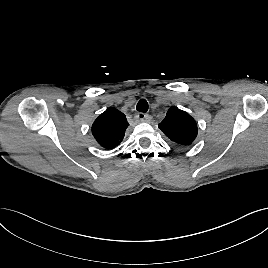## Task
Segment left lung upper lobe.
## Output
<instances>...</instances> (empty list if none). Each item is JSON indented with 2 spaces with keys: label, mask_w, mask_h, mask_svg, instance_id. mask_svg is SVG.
Instances as JSON below:
<instances>
[{
  "label": "left lung upper lobe",
  "mask_w": 268,
  "mask_h": 268,
  "mask_svg": "<svg viewBox=\"0 0 268 268\" xmlns=\"http://www.w3.org/2000/svg\"><path fill=\"white\" fill-rule=\"evenodd\" d=\"M158 127L178 146L191 145L198 133L196 121L187 112L177 107L169 108L165 119Z\"/></svg>",
  "instance_id": "5c2ea615"
}]
</instances>
